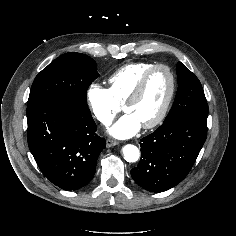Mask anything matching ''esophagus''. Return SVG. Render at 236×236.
Listing matches in <instances>:
<instances>
[{
	"label": "esophagus",
	"instance_id": "obj_1",
	"mask_svg": "<svg viewBox=\"0 0 236 236\" xmlns=\"http://www.w3.org/2000/svg\"><path fill=\"white\" fill-rule=\"evenodd\" d=\"M118 144H119L118 141H115V140H112V139H107V140H106V146H107L108 148L113 147V146H116V145H118Z\"/></svg>",
	"mask_w": 236,
	"mask_h": 236
}]
</instances>
